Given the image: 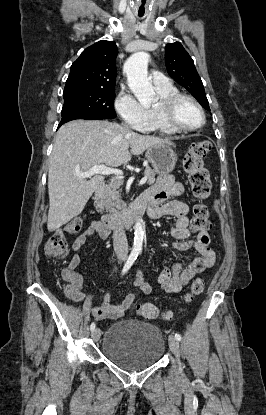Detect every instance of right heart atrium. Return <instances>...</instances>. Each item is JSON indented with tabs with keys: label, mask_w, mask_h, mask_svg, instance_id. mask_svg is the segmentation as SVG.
Wrapping results in <instances>:
<instances>
[{
	"label": "right heart atrium",
	"mask_w": 266,
	"mask_h": 415,
	"mask_svg": "<svg viewBox=\"0 0 266 415\" xmlns=\"http://www.w3.org/2000/svg\"><path fill=\"white\" fill-rule=\"evenodd\" d=\"M120 117L135 129H145L149 121V111L141 105L129 91H122L115 101Z\"/></svg>",
	"instance_id": "right-heart-atrium-1"
}]
</instances>
